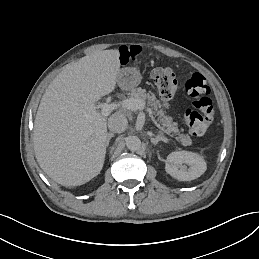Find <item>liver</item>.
I'll return each instance as SVG.
<instances>
[{"label":"liver","mask_w":259,"mask_h":259,"mask_svg":"<svg viewBox=\"0 0 259 259\" xmlns=\"http://www.w3.org/2000/svg\"><path fill=\"white\" fill-rule=\"evenodd\" d=\"M119 72L118 50H96L66 65L42 96L34 151L40 167L57 183L82 185L102 170L107 120L95 103L115 89Z\"/></svg>","instance_id":"liver-1"}]
</instances>
